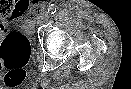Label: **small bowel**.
I'll return each mask as SVG.
<instances>
[{"label": "small bowel", "instance_id": "obj_1", "mask_svg": "<svg viewBox=\"0 0 131 89\" xmlns=\"http://www.w3.org/2000/svg\"><path fill=\"white\" fill-rule=\"evenodd\" d=\"M19 11H16V10ZM27 6L26 4L23 3H17L14 5H12V12L10 13H5V12H1V16H0V29L5 28L11 21L12 19H17L20 18L22 16V14H24L27 10Z\"/></svg>", "mask_w": 131, "mask_h": 89}]
</instances>
